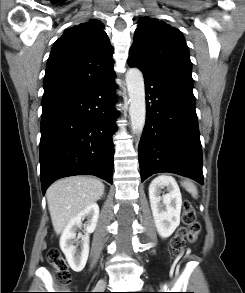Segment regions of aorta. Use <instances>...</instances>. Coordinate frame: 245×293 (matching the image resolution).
Returning a JSON list of instances; mask_svg holds the SVG:
<instances>
[{"mask_svg":"<svg viewBox=\"0 0 245 293\" xmlns=\"http://www.w3.org/2000/svg\"><path fill=\"white\" fill-rule=\"evenodd\" d=\"M126 84L130 101L131 127L135 133H141L146 116L145 86L142 72L137 68H130L126 73Z\"/></svg>","mask_w":245,"mask_h":293,"instance_id":"aorta-1","label":"aorta"}]
</instances>
